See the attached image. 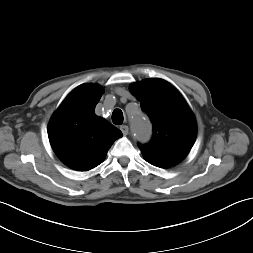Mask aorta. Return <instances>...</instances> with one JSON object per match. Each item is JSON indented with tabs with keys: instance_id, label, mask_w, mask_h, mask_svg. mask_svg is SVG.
Instances as JSON below:
<instances>
[{
	"instance_id": "aorta-1",
	"label": "aorta",
	"mask_w": 253,
	"mask_h": 253,
	"mask_svg": "<svg viewBox=\"0 0 253 253\" xmlns=\"http://www.w3.org/2000/svg\"><path fill=\"white\" fill-rule=\"evenodd\" d=\"M131 134L134 140L139 143H146L150 140L152 127L149 119L141 111H138L130 121Z\"/></svg>"
}]
</instances>
